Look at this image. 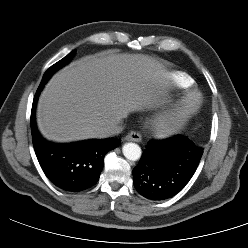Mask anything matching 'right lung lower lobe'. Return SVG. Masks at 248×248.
<instances>
[{"label":"right lung lower lobe","mask_w":248,"mask_h":248,"mask_svg":"<svg viewBox=\"0 0 248 248\" xmlns=\"http://www.w3.org/2000/svg\"><path fill=\"white\" fill-rule=\"evenodd\" d=\"M45 83L41 82L35 94L31 111V132L39 164L48 179L57 187L79 192L95 185L103 169L105 155L115 149L118 139H91L69 144H56L45 140L35 122L38 96Z\"/></svg>","instance_id":"1"}]
</instances>
